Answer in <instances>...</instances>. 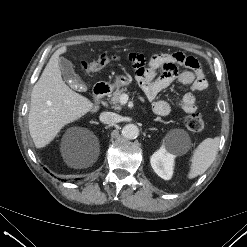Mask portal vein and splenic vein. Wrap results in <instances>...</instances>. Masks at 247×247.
I'll list each match as a JSON object with an SVG mask.
<instances>
[{
  "label": "portal vein and splenic vein",
  "instance_id": "portal-vein-and-splenic-vein-1",
  "mask_svg": "<svg viewBox=\"0 0 247 247\" xmlns=\"http://www.w3.org/2000/svg\"><path fill=\"white\" fill-rule=\"evenodd\" d=\"M129 100V97L127 94H123L121 97H120V104L122 105H125Z\"/></svg>",
  "mask_w": 247,
  "mask_h": 247
}]
</instances>
